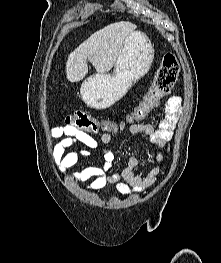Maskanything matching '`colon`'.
<instances>
[{
	"instance_id": "colon-1",
	"label": "colon",
	"mask_w": 221,
	"mask_h": 263,
	"mask_svg": "<svg viewBox=\"0 0 221 263\" xmlns=\"http://www.w3.org/2000/svg\"><path fill=\"white\" fill-rule=\"evenodd\" d=\"M179 70L180 67L177 56L172 52L166 53L162 58V62L149 90L142 101L132 111V120L144 118L158 106L160 101L166 97L174 87ZM66 126L85 134H96L101 129L99 122L83 110H76L68 115L66 118ZM119 127L120 125L118 124H109L105 128L109 131H116Z\"/></svg>"
}]
</instances>
